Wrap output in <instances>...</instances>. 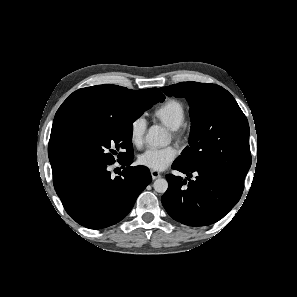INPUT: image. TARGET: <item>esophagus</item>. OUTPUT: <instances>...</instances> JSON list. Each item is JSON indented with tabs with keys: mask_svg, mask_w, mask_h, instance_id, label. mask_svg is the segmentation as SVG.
<instances>
[{
	"mask_svg": "<svg viewBox=\"0 0 297 297\" xmlns=\"http://www.w3.org/2000/svg\"><path fill=\"white\" fill-rule=\"evenodd\" d=\"M151 176L153 179H157L159 177H161L160 172L156 171V170H151Z\"/></svg>",
	"mask_w": 297,
	"mask_h": 297,
	"instance_id": "obj_1",
	"label": "esophagus"
}]
</instances>
